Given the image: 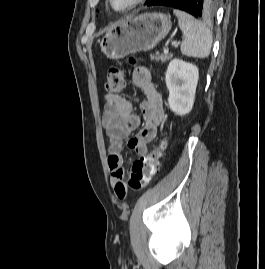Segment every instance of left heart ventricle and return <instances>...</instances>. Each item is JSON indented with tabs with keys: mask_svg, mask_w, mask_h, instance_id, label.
<instances>
[{
	"mask_svg": "<svg viewBox=\"0 0 265 269\" xmlns=\"http://www.w3.org/2000/svg\"><path fill=\"white\" fill-rule=\"evenodd\" d=\"M130 0H114V4L116 7L125 6Z\"/></svg>",
	"mask_w": 265,
	"mask_h": 269,
	"instance_id": "left-heart-ventricle-1",
	"label": "left heart ventricle"
}]
</instances>
